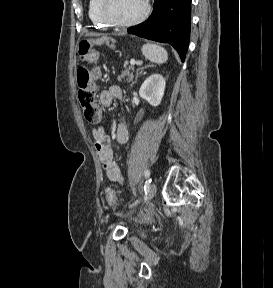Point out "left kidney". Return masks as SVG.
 I'll use <instances>...</instances> for the list:
<instances>
[{"label":"left kidney","instance_id":"obj_1","mask_svg":"<svg viewBox=\"0 0 273 288\" xmlns=\"http://www.w3.org/2000/svg\"><path fill=\"white\" fill-rule=\"evenodd\" d=\"M165 85L166 82L162 75L153 74L143 82L139 94L152 106H158L162 101Z\"/></svg>","mask_w":273,"mask_h":288}]
</instances>
